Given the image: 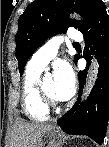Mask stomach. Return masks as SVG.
Here are the masks:
<instances>
[{
    "mask_svg": "<svg viewBox=\"0 0 109 147\" xmlns=\"http://www.w3.org/2000/svg\"><path fill=\"white\" fill-rule=\"evenodd\" d=\"M62 141L63 133L57 127H54L40 138L38 147H59Z\"/></svg>",
    "mask_w": 109,
    "mask_h": 147,
    "instance_id": "1",
    "label": "stomach"
}]
</instances>
